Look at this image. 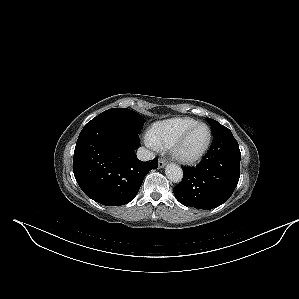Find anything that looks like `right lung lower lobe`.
<instances>
[{"instance_id": "right-lung-lower-lobe-1", "label": "right lung lower lobe", "mask_w": 299, "mask_h": 299, "mask_svg": "<svg viewBox=\"0 0 299 299\" xmlns=\"http://www.w3.org/2000/svg\"><path fill=\"white\" fill-rule=\"evenodd\" d=\"M139 137L123 122L97 116L82 129L74 151L73 171L82 191L106 206L129 203L158 159L138 160Z\"/></svg>"}]
</instances>
